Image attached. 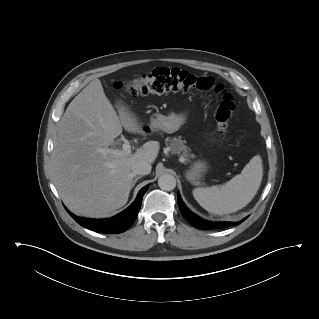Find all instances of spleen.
Listing matches in <instances>:
<instances>
[{"label": "spleen", "instance_id": "1", "mask_svg": "<svg viewBox=\"0 0 319 319\" xmlns=\"http://www.w3.org/2000/svg\"><path fill=\"white\" fill-rule=\"evenodd\" d=\"M263 177L262 159L254 156L242 172L221 186L196 188L195 200L208 212L230 214L249 204L256 195Z\"/></svg>", "mask_w": 319, "mask_h": 319}]
</instances>
